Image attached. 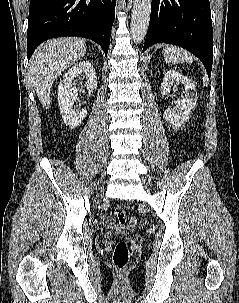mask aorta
Here are the masks:
<instances>
[{"label": "aorta", "mask_w": 239, "mask_h": 303, "mask_svg": "<svg viewBox=\"0 0 239 303\" xmlns=\"http://www.w3.org/2000/svg\"><path fill=\"white\" fill-rule=\"evenodd\" d=\"M152 0H134L131 16V35L136 43H140L146 36L150 21Z\"/></svg>", "instance_id": "obj_1"}]
</instances>
